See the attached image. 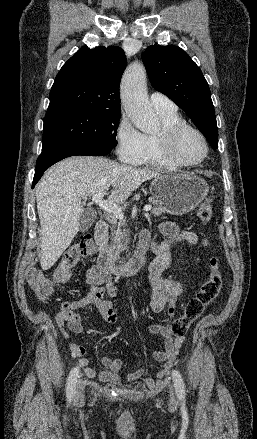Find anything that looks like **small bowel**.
I'll use <instances>...</instances> for the list:
<instances>
[{
    "instance_id": "c3829d8e",
    "label": "small bowel",
    "mask_w": 257,
    "mask_h": 439,
    "mask_svg": "<svg viewBox=\"0 0 257 439\" xmlns=\"http://www.w3.org/2000/svg\"><path fill=\"white\" fill-rule=\"evenodd\" d=\"M161 232L166 236L164 242H155L148 232H142L141 239H147L156 253L155 260L150 264L148 279L151 286L149 306L152 312H165L172 317L177 305V299L183 292L182 283L173 279L163 277V272L169 266L172 258V249L180 242L195 244L197 237L190 232H182L173 223H163L160 226ZM87 284L89 292L81 299L68 300L61 303L59 312L55 315L58 326L66 328L73 333L83 331V320L77 312L79 309L94 306L101 314L103 320L108 324H115L118 320L114 310L112 298L117 293V288L108 274L103 273L96 267L87 272ZM153 335H161L164 338V349L154 351L153 357L156 361L164 363L167 368L171 367L179 354V350L185 342V336L173 338L169 327L166 324H155L149 327ZM69 349L73 357L78 358V364L83 368L89 378H96L102 382L119 383L123 379L135 381L141 379L144 369H136L126 375L121 373L123 361L119 358L103 356L100 363L103 369L97 372L89 366V359L85 357V347L69 342Z\"/></svg>"
}]
</instances>
